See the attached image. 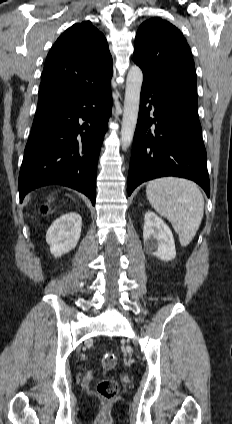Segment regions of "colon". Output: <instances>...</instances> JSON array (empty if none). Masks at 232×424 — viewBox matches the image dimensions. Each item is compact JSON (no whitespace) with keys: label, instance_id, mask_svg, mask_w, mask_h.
<instances>
[{"label":"colon","instance_id":"obj_1","mask_svg":"<svg viewBox=\"0 0 232 424\" xmlns=\"http://www.w3.org/2000/svg\"><path fill=\"white\" fill-rule=\"evenodd\" d=\"M50 211L49 205L44 204L40 207V213L48 214ZM117 358L113 353H107L101 360L102 369L105 371L111 370L116 366ZM98 395L105 400H112L118 395V385L112 379H101L96 385Z\"/></svg>","mask_w":232,"mask_h":424}]
</instances>
